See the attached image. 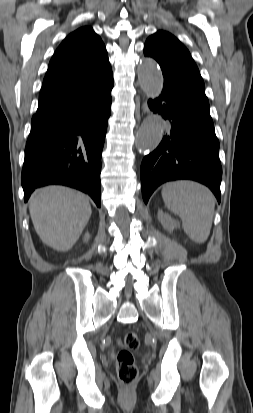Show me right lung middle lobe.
<instances>
[{"mask_svg": "<svg viewBox=\"0 0 253 413\" xmlns=\"http://www.w3.org/2000/svg\"><path fill=\"white\" fill-rule=\"evenodd\" d=\"M44 120H45V118H32L31 126L35 125V124H38V123H41Z\"/></svg>", "mask_w": 253, "mask_h": 413, "instance_id": "1", "label": "right lung middle lobe"}]
</instances>
